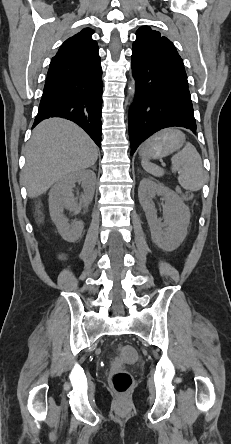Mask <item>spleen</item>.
Here are the masks:
<instances>
[{
  "label": "spleen",
  "mask_w": 231,
  "mask_h": 444,
  "mask_svg": "<svg viewBox=\"0 0 231 444\" xmlns=\"http://www.w3.org/2000/svg\"><path fill=\"white\" fill-rule=\"evenodd\" d=\"M172 171L178 172V182L189 191H198L205 182V172L202 160L196 148L191 143H186L185 147L171 158ZM143 169L153 176L160 177L164 170L143 158L141 161Z\"/></svg>",
  "instance_id": "1"
}]
</instances>
